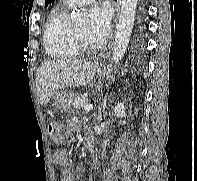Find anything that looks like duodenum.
I'll list each match as a JSON object with an SVG mask.
<instances>
[{
    "mask_svg": "<svg viewBox=\"0 0 197 181\" xmlns=\"http://www.w3.org/2000/svg\"><path fill=\"white\" fill-rule=\"evenodd\" d=\"M86 144H87L88 151L90 153H92L94 150L95 142H94V138H93L92 134H90V133H88L86 136Z\"/></svg>",
    "mask_w": 197,
    "mask_h": 181,
    "instance_id": "obj_1",
    "label": "duodenum"
}]
</instances>
